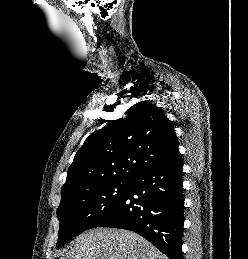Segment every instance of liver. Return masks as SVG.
Listing matches in <instances>:
<instances>
[{"mask_svg":"<svg viewBox=\"0 0 248 259\" xmlns=\"http://www.w3.org/2000/svg\"><path fill=\"white\" fill-rule=\"evenodd\" d=\"M60 259H168L138 234L96 228L80 234Z\"/></svg>","mask_w":248,"mask_h":259,"instance_id":"6515ba94","label":"liver"}]
</instances>
